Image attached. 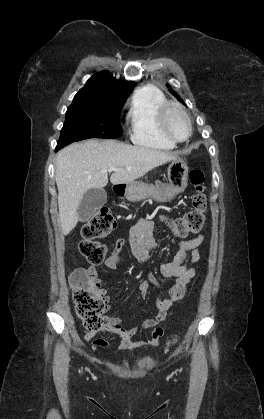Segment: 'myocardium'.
I'll list each match as a JSON object with an SVG mask.
<instances>
[{
  "instance_id": "f54148a6",
  "label": "myocardium",
  "mask_w": 264,
  "mask_h": 419,
  "mask_svg": "<svg viewBox=\"0 0 264 419\" xmlns=\"http://www.w3.org/2000/svg\"><path fill=\"white\" fill-rule=\"evenodd\" d=\"M177 111L178 113H180L184 119L187 122L188 125V134L186 136V138L184 139H177L176 137H174L171 132L168 129V125H167V118L168 115L171 111ZM158 124H159V129L161 134L170 142L174 143V144H179V143H183L185 141H187L191 134H192V123H191V119L188 115V113L183 109L182 106H180L179 104L175 103V102H171V101H166L162 107L159 110V115H158Z\"/></svg>"
}]
</instances>
